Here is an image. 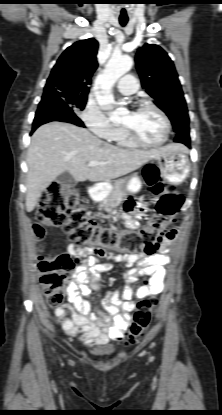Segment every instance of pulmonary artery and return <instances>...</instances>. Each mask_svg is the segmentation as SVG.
Listing matches in <instances>:
<instances>
[{
	"label": "pulmonary artery",
	"instance_id": "obj_1",
	"mask_svg": "<svg viewBox=\"0 0 222 415\" xmlns=\"http://www.w3.org/2000/svg\"><path fill=\"white\" fill-rule=\"evenodd\" d=\"M117 88L121 93L131 95L137 91L138 83L134 76L125 75L117 82Z\"/></svg>",
	"mask_w": 222,
	"mask_h": 415
}]
</instances>
